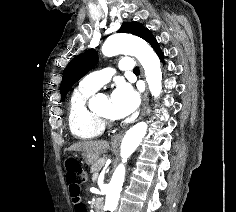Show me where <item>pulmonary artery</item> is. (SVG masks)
Here are the masks:
<instances>
[{
  "instance_id": "obj_1",
  "label": "pulmonary artery",
  "mask_w": 236,
  "mask_h": 212,
  "mask_svg": "<svg viewBox=\"0 0 236 212\" xmlns=\"http://www.w3.org/2000/svg\"><path fill=\"white\" fill-rule=\"evenodd\" d=\"M119 68L122 71H132L134 69V62L131 58H122L119 63ZM114 73L115 69L110 67L104 68L102 70L88 74L83 78L81 84L89 88L99 89L110 81Z\"/></svg>"
}]
</instances>
